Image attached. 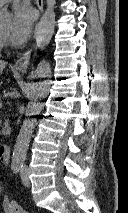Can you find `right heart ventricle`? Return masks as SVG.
I'll return each mask as SVG.
<instances>
[{
  "label": "right heart ventricle",
  "instance_id": "e07e8e85",
  "mask_svg": "<svg viewBox=\"0 0 128 213\" xmlns=\"http://www.w3.org/2000/svg\"><path fill=\"white\" fill-rule=\"evenodd\" d=\"M1 47H2V38L0 36V50H1Z\"/></svg>",
  "mask_w": 128,
  "mask_h": 213
}]
</instances>
